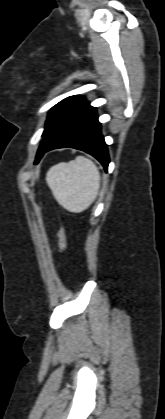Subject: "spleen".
I'll use <instances>...</instances> for the list:
<instances>
[{
    "label": "spleen",
    "mask_w": 165,
    "mask_h": 419,
    "mask_svg": "<svg viewBox=\"0 0 165 419\" xmlns=\"http://www.w3.org/2000/svg\"><path fill=\"white\" fill-rule=\"evenodd\" d=\"M46 182L57 202L70 212L86 210L96 199L100 188L97 166L84 156L51 167Z\"/></svg>",
    "instance_id": "spleen-1"
}]
</instances>
